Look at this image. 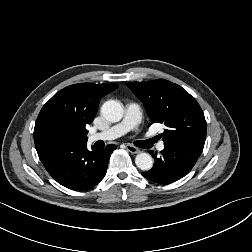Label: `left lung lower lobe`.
Masks as SVG:
<instances>
[{
  "label": "left lung lower lobe",
  "instance_id": "left-lung-lower-lobe-1",
  "mask_svg": "<svg viewBox=\"0 0 252 252\" xmlns=\"http://www.w3.org/2000/svg\"><path fill=\"white\" fill-rule=\"evenodd\" d=\"M202 149L190 145L164 146L161 156L150 151L155 163L142 175L159 184H169L187 175L195 165Z\"/></svg>",
  "mask_w": 252,
  "mask_h": 252
}]
</instances>
